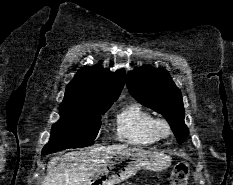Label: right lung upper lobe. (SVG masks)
<instances>
[{
	"mask_svg": "<svg viewBox=\"0 0 233 185\" xmlns=\"http://www.w3.org/2000/svg\"><path fill=\"white\" fill-rule=\"evenodd\" d=\"M123 69L110 72L100 65L78 71L67 85L63 102L90 105L104 101H115L124 86Z\"/></svg>",
	"mask_w": 233,
	"mask_h": 185,
	"instance_id": "cb5924a9",
	"label": "right lung upper lobe"
}]
</instances>
